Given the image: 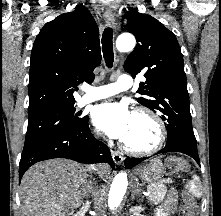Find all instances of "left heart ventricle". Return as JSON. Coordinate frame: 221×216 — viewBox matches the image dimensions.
<instances>
[{
    "instance_id": "obj_1",
    "label": "left heart ventricle",
    "mask_w": 221,
    "mask_h": 216,
    "mask_svg": "<svg viewBox=\"0 0 221 216\" xmlns=\"http://www.w3.org/2000/svg\"><path fill=\"white\" fill-rule=\"evenodd\" d=\"M157 136L156 125L151 119L143 115H134L123 141L135 148H147L155 143Z\"/></svg>"
}]
</instances>
